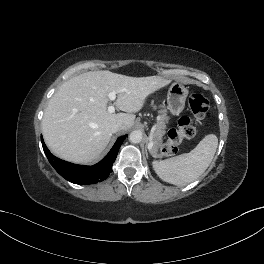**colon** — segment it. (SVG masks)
Returning <instances> with one entry per match:
<instances>
[{
    "mask_svg": "<svg viewBox=\"0 0 264 264\" xmlns=\"http://www.w3.org/2000/svg\"><path fill=\"white\" fill-rule=\"evenodd\" d=\"M188 105L193 119L187 116L181 117L178 127L169 131L168 139L162 147V153L165 156L175 154L184 139L191 138L196 134L199 121L205 117L210 108L208 99L200 93H192L188 98Z\"/></svg>",
    "mask_w": 264,
    "mask_h": 264,
    "instance_id": "1",
    "label": "colon"
}]
</instances>
